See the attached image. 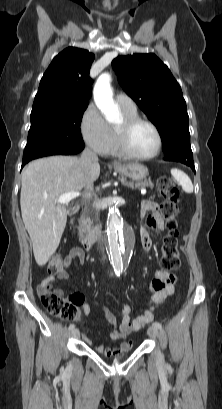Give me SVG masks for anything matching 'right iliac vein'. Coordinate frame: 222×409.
<instances>
[{
  "mask_svg": "<svg viewBox=\"0 0 222 409\" xmlns=\"http://www.w3.org/2000/svg\"><path fill=\"white\" fill-rule=\"evenodd\" d=\"M71 334H72V336L74 338H78L79 337V330L78 329H73Z\"/></svg>",
  "mask_w": 222,
  "mask_h": 409,
  "instance_id": "1",
  "label": "right iliac vein"
}]
</instances>
